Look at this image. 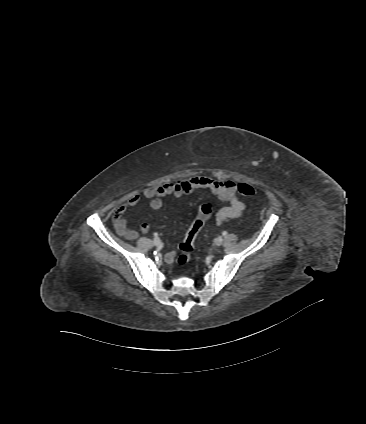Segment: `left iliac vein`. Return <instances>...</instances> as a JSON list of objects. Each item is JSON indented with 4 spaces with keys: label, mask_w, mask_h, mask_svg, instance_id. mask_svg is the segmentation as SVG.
Segmentation results:
<instances>
[{
    "label": "left iliac vein",
    "mask_w": 366,
    "mask_h": 424,
    "mask_svg": "<svg viewBox=\"0 0 366 424\" xmlns=\"http://www.w3.org/2000/svg\"><path fill=\"white\" fill-rule=\"evenodd\" d=\"M222 243H223V237L222 236H219L215 239V244L217 246H220Z\"/></svg>",
    "instance_id": "4c4485c4"
}]
</instances>
